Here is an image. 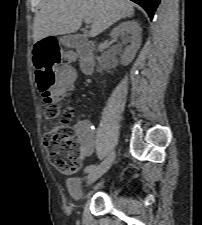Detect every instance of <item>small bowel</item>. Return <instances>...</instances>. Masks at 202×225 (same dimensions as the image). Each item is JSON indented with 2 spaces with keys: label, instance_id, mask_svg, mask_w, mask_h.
<instances>
[{
  "label": "small bowel",
  "instance_id": "c3829d8e",
  "mask_svg": "<svg viewBox=\"0 0 202 225\" xmlns=\"http://www.w3.org/2000/svg\"><path fill=\"white\" fill-rule=\"evenodd\" d=\"M59 73L63 75L66 87L72 89L74 87L73 67L63 66L59 69ZM73 127L79 139L80 159L86 160L91 156L97 144L94 129L87 120H80Z\"/></svg>",
  "mask_w": 202,
  "mask_h": 225
}]
</instances>
